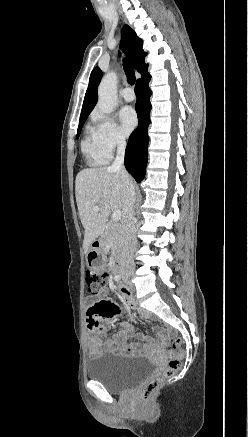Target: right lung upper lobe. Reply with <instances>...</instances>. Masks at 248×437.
Listing matches in <instances>:
<instances>
[{
    "instance_id": "cb5924a9",
    "label": "right lung upper lobe",
    "mask_w": 248,
    "mask_h": 437,
    "mask_svg": "<svg viewBox=\"0 0 248 437\" xmlns=\"http://www.w3.org/2000/svg\"><path fill=\"white\" fill-rule=\"evenodd\" d=\"M143 42L137 37L135 31L128 25H124L121 34V48L127 54L133 67L141 74L144 75L147 72L148 64L144 63L146 53L142 49ZM102 78V71L96 67L93 69L89 79V86L87 88L80 120L88 117L97 103V88ZM79 120V121H80Z\"/></svg>"
}]
</instances>
